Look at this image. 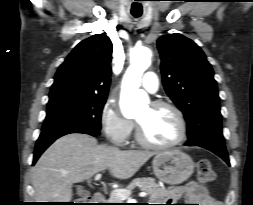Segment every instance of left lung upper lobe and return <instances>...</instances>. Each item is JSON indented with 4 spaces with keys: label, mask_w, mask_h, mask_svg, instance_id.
<instances>
[{
    "label": "left lung upper lobe",
    "mask_w": 253,
    "mask_h": 205,
    "mask_svg": "<svg viewBox=\"0 0 253 205\" xmlns=\"http://www.w3.org/2000/svg\"><path fill=\"white\" fill-rule=\"evenodd\" d=\"M157 47L164 88L187 121L186 145L205 140L224 142L220 98L212 67L203 51L178 33L161 36Z\"/></svg>",
    "instance_id": "left-lung-upper-lobe-1"
}]
</instances>
